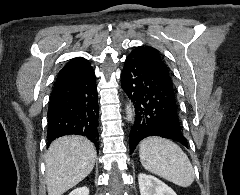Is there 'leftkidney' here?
<instances>
[{
    "mask_svg": "<svg viewBox=\"0 0 240 195\" xmlns=\"http://www.w3.org/2000/svg\"><path fill=\"white\" fill-rule=\"evenodd\" d=\"M138 181L141 195H177L172 187L154 175L139 173Z\"/></svg>",
    "mask_w": 240,
    "mask_h": 195,
    "instance_id": "5707ae66",
    "label": "left kidney"
}]
</instances>
